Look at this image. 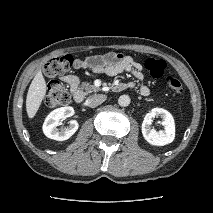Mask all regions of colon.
Masks as SVG:
<instances>
[{"label": "colon", "instance_id": "colon-1", "mask_svg": "<svg viewBox=\"0 0 213 213\" xmlns=\"http://www.w3.org/2000/svg\"><path fill=\"white\" fill-rule=\"evenodd\" d=\"M74 63L72 55H63L49 60L44 66V73L47 77L54 78L69 70ZM145 68L149 74L156 79L164 75L166 63L164 60L149 58L145 61ZM166 87L175 94H181L183 87L181 82L174 76L168 75L164 79ZM70 101L69 93L64 85L58 80H51L47 87L45 104L55 108L67 105Z\"/></svg>", "mask_w": 213, "mask_h": 213}]
</instances>
